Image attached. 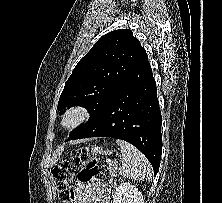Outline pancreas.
<instances>
[{"instance_id":"1","label":"pancreas","mask_w":222,"mask_h":203,"mask_svg":"<svg viewBox=\"0 0 222 203\" xmlns=\"http://www.w3.org/2000/svg\"><path fill=\"white\" fill-rule=\"evenodd\" d=\"M116 170H117V164H116V162L111 163V164L108 166L109 174H110L112 177H115V176H116V172H117Z\"/></svg>"}]
</instances>
